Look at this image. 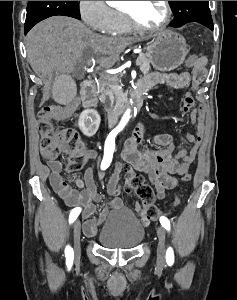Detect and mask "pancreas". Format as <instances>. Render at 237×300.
Instances as JSON below:
<instances>
[{
	"instance_id": "pancreas-1",
	"label": "pancreas",
	"mask_w": 237,
	"mask_h": 300,
	"mask_svg": "<svg viewBox=\"0 0 237 300\" xmlns=\"http://www.w3.org/2000/svg\"><path fill=\"white\" fill-rule=\"evenodd\" d=\"M137 61L141 62L140 71H142L143 75H148V73H150L151 71L149 59H147L145 55H139V57H137ZM99 83V91L104 99V103H110V109H106L108 115L118 117L114 109L116 99L114 97V91L112 89V87H118L120 83L118 77H116V75H108V73H105V75H102V77H100Z\"/></svg>"
}]
</instances>
